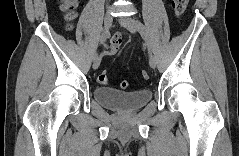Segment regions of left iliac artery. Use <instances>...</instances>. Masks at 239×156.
<instances>
[{"label":"left iliac artery","mask_w":239,"mask_h":156,"mask_svg":"<svg viewBox=\"0 0 239 156\" xmlns=\"http://www.w3.org/2000/svg\"><path fill=\"white\" fill-rule=\"evenodd\" d=\"M136 25H137V29L139 30L140 34L142 35V37L144 38V40L146 41L149 53H151V44L147 35V30L145 28V26L140 22V21H136Z\"/></svg>","instance_id":"1"}]
</instances>
